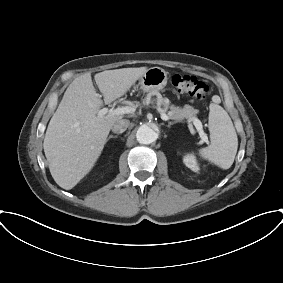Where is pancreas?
<instances>
[{
    "label": "pancreas",
    "instance_id": "obj_1",
    "mask_svg": "<svg viewBox=\"0 0 283 283\" xmlns=\"http://www.w3.org/2000/svg\"><path fill=\"white\" fill-rule=\"evenodd\" d=\"M148 101L150 102V96L146 97L144 104H146ZM157 103L163 105L164 109L169 107V100L167 98L158 97ZM198 112L199 111L197 109H194L190 105H185L183 108L172 105L170 106V111L168 112V116L171 119L176 120L177 122H181L184 119L192 121L196 118Z\"/></svg>",
    "mask_w": 283,
    "mask_h": 283
}]
</instances>
